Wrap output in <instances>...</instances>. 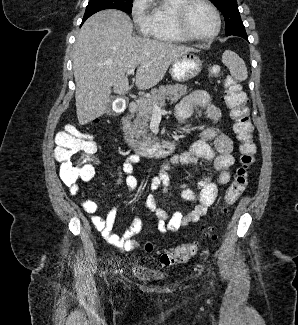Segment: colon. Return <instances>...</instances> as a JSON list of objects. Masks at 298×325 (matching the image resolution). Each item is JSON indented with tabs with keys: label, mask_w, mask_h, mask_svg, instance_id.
Listing matches in <instances>:
<instances>
[{
	"label": "colon",
	"mask_w": 298,
	"mask_h": 325,
	"mask_svg": "<svg viewBox=\"0 0 298 325\" xmlns=\"http://www.w3.org/2000/svg\"><path fill=\"white\" fill-rule=\"evenodd\" d=\"M210 73L217 76L220 68L210 67ZM225 102L234 121L233 129L239 141L240 163L234 179L224 196L226 206L234 204L245 190L250 169L255 162L256 145L253 140V125L250 120L248 98L241 87L231 78L225 81ZM97 147L91 136L82 133L73 126H67L56 137L55 157L60 162V177L67 186L77 185L79 181H88L94 176L92 163L96 159ZM147 252L153 251V245L145 244ZM197 252L195 244H183L158 256L163 266L184 263Z\"/></svg>",
	"instance_id": "obj_1"
}]
</instances>
